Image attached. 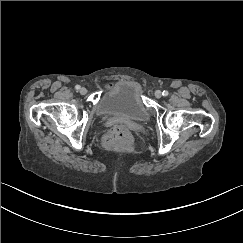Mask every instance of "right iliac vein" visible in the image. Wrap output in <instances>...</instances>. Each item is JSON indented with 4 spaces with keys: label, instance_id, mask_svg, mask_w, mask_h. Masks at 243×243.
Wrapping results in <instances>:
<instances>
[{
    "label": "right iliac vein",
    "instance_id": "right-iliac-vein-1",
    "mask_svg": "<svg viewBox=\"0 0 243 243\" xmlns=\"http://www.w3.org/2000/svg\"><path fill=\"white\" fill-rule=\"evenodd\" d=\"M79 92H80V94L85 95L87 93V89L82 87V88H80Z\"/></svg>",
    "mask_w": 243,
    "mask_h": 243
}]
</instances>
